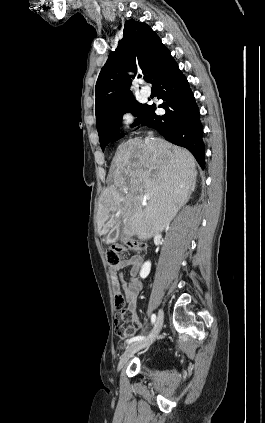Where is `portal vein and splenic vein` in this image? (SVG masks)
<instances>
[{
  "instance_id": "1",
  "label": "portal vein and splenic vein",
  "mask_w": 265,
  "mask_h": 423,
  "mask_svg": "<svg viewBox=\"0 0 265 423\" xmlns=\"http://www.w3.org/2000/svg\"><path fill=\"white\" fill-rule=\"evenodd\" d=\"M145 198H146V199H149V198H150L149 194H146V195H145Z\"/></svg>"
}]
</instances>
